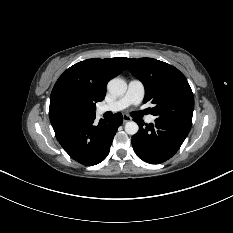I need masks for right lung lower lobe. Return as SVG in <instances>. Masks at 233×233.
<instances>
[{
    "label": "right lung lower lobe",
    "mask_w": 233,
    "mask_h": 233,
    "mask_svg": "<svg viewBox=\"0 0 233 233\" xmlns=\"http://www.w3.org/2000/svg\"><path fill=\"white\" fill-rule=\"evenodd\" d=\"M94 120L95 114H91L51 122L63 149L71 158L87 166L96 165L107 157L123 116L116 113L110 119H100L98 124Z\"/></svg>",
    "instance_id": "right-lung-lower-lobe-1"
}]
</instances>
